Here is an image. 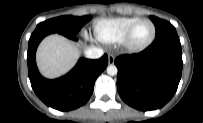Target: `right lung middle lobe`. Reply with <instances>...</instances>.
Listing matches in <instances>:
<instances>
[{"label": "right lung middle lobe", "mask_w": 203, "mask_h": 123, "mask_svg": "<svg viewBox=\"0 0 203 123\" xmlns=\"http://www.w3.org/2000/svg\"><path fill=\"white\" fill-rule=\"evenodd\" d=\"M91 19V16H61L46 20L37 25L36 32L59 33L65 36H73L82 26Z\"/></svg>", "instance_id": "1"}]
</instances>
